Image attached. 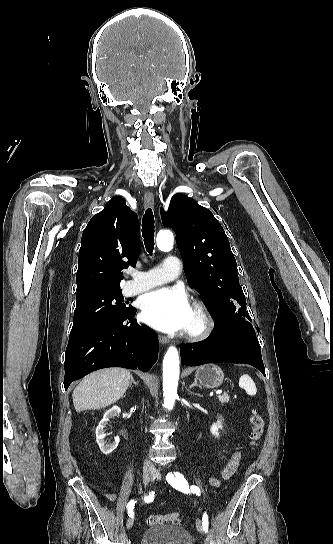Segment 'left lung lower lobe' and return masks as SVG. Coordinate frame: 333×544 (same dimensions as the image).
Wrapping results in <instances>:
<instances>
[{"label":"left lung lower lobe","mask_w":333,"mask_h":544,"mask_svg":"<svg viewBox=\"0 0 333 544\" xmlns=\"http://www.w3.org/2000/svg\"><path fill=\"white\" fill-rule=\"evenodd\" d=\"M180 353L182 364L187 366L207 362L246 363L265 375L261 349L245 324L216 325L215 331L205 340L182 344Z\"/></svg>","instance_id":"1"}]
</instances>
